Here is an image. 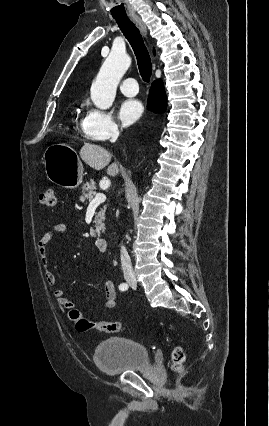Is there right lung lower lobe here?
<instances>
[{
	"label": "right lung lower lobe",
	"mask_w": 269,
	"mask_h": 426,
	"mask_svg": "<svg viewBox=\"0 0 269 426\" xmlns=\"http://www.w3.org/2000/svg\"><path fill=\"white\" fill-rule=\"evenodd\" d=\"M167 107V99L163 83L161 80H156L152 83L147 108L155 113L165 112Z\"/></svg>",
	"instance_id": "obj_1"
}]
</instances>
